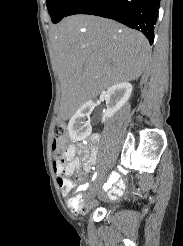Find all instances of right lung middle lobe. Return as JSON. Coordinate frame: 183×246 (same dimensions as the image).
<instances>
[{
	"label": "right lung middle lobe",
	"mask_w": 183,
	"mask_h": 246,
	"mask_svg": "<svg viewBox=\"0 0 183 246\" xmlns=\"http://www.w3.org/2000/svg\"><path fill=\"white\" fill-rule=\"evenodd\" d=\"M76 1L77 0H46V5L52 22L57 23L65 17L66 13Z\"/></svg>",
	"instance_id": "obj_1"
}]
</instances>
